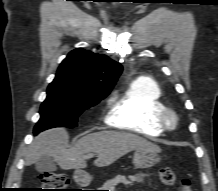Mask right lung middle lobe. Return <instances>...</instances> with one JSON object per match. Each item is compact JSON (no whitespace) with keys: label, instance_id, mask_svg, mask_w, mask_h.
Listing matches in <instances>:
<instances>
[{"label":"right lung middle lobe","instance_id":"right-lung-middle-lobe-1","mask_svg":"<svg viewBox=\"0 0 218 191\" xmlns=\"http://www.w3.org/2000/svg\"><path fill=\"white\" fill-rule=\"evenodd\" d=\"M106 96L107 94H82L53 80L48 86L47 97L41 105V117L34 128V134L37 135L53 127H76L78 116Z\"/></svg>","mask_w":218,"mask_h":191}]
</instances>
